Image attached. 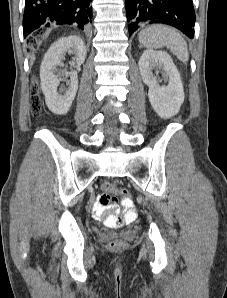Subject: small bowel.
I'll return each instance as SVG.
<instances>
[{"instance_id":"obj_1","label":"small bowel","mask_w":227,"mask_h":298,"mask_svg":"<svg viewBox=\"0 0 227 298\" xmlns=\"http://www.w3.org/2000/svg\"><path fill=\"white\" fill-rule=\"evenodd\" d=\"M102 196V194H100L97 198V201L94 203L92 210H93V214L96 218H101L104 214H105V210L102 208V206L99 203V199ZM126 214H125V218H124V222H129L131 221L134 217H135V210L130 207L127 208ZM118 209L115 207V211H117Z\"/></svg>"}]
</instances>
